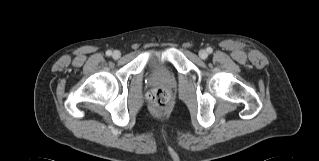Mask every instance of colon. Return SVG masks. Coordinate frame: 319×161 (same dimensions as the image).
Here are the masks:
<instances>
[{"label":"colon","instance_id":"obj_1","mask_svg":"<svg viewBox=\"0 0 319 161\" xmlns=\"http://www.w3.org/2000/svg\"><path fill=\"white\" fill-rule=\"evenodd\" d=\"M148 104L152 111L163 112L171 109L172 98L170 92L165 88L153 89L147 96Z\"/></svg>","mask_w":319,"mask_h":161}]
</instances>
